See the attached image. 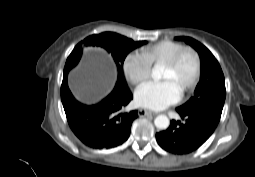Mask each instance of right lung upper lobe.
<instances>
[{"mask_svg": "<svg viewBox=\"0 0 255 177\" xmlns=\"http://www.w3.org/2000/svg\"><path fill=\"white\" fill-rule=\"evenodd\" d=\"M77 46L74 48L73 52L76 50Z\"/></svg>", "mask_w": 255, "mask_h": 177, "instance_id": "1", "label": "right lung upper lobe"}]
</instances>
